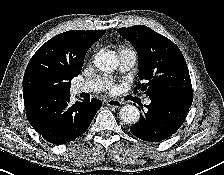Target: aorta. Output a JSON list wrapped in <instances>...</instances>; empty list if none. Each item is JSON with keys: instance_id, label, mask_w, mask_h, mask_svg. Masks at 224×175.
Returning a JSON list of instances; mask_svg holds the SVG:
<instances>
[{"instance_id": "aorta-1", "label": "aorta", "mask_w": 224, "mask_h": 175, "mask_svg": "<svg viewBox=\"0 0 224 175\" xmlns=\"http://www.w3.org/2000/svg\"><path fill=\"white\" fill-rule=\"evenodd\" d=\"M94 64L99 70L110 73L116 69L118 61L113 52L105 51L96 54ZM119 115L121 121L126 124L137 123L140 119L139 110L134 105L123 106Z\"/></svg>"}]
</instances>
